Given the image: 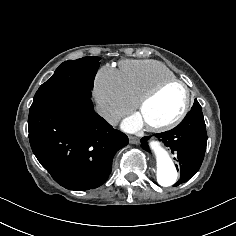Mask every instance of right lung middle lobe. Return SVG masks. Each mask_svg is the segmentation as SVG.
Returning <instances> with one entry per match:
<instances>
[{"label": "right lung middle lobe", "instance_id": "1", "mask_svg": "<svg viewBox=\"0 0 236 236\" xmlns=\"http://www.w3.org/2000/svg\"><path fill=\"white\" fill-rule=\"evenodd\" d=\"M99 60L100 57L88 56L63 62L51 78L40 86L30 110L58 100L90 98Z\"/></svg>", "mask_w": 236, "mask_h": 236}]
</instances>
